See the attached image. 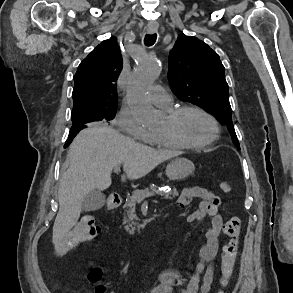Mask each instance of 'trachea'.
Here are the masks:
<instances>
[{
	"label": "trachea",
	"mask_w": 293,
	"mask_h": 293,
	"mask_svg": "<svg viewBox=\"0 0 293 293\" xmlns=\"http://www.w3.org/2000/svg\"><path fill=\"white\" fill-rule=\"evenodd\" d=\"M157 35L156 34H149L145 36L144 43L146 46H151L156 42Z\"/></svg>",
	"instance_id": "trachea-1"
}]
</instances>
